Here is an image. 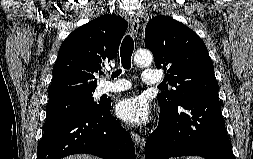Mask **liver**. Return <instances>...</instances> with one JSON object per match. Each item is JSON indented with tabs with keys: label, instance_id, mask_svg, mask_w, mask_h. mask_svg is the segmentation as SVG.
<instances>
[{
	"label": "liver",
	"instance_id": "6515ba94",
	"mask_svg": "<svg viewBox=\"0 0 253 159\" xmlns=\"http://www.w3.org/2000/svg\"><path fill=\"white\" fill-rule=\"evenodd\" d=\"M64 159H100V158L95 157V156H91V155H88V154H78V155L68 156Z\"/></svg>",
	"mask_w": 253,
	"mask_h": 159
}]
</instances>
